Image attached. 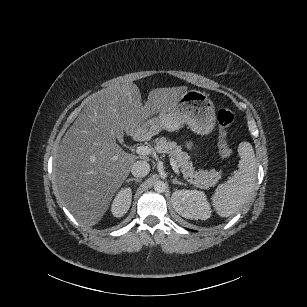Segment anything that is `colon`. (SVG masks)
Returning a JSON list of instances; mask_svg holds the SVG:
<instances>
[{
  "label": "colon",
  "mask_w": 307,
  "mask_h": 307,
  "mask_svg": "<svg viewBox=\"0 0 307 307\" xmlns=\"http://www.w3.org/2000/svg\"><path fill=\"white\" fill-rule=\"evenodd\" d=\"M220 127L219 133V152L223 158H229L233 154V150L227 143V129L234 121V114L228 109H220L217 114Z\"/></svg>",
  "instance_id": "colon-1"
}]
</instances>
